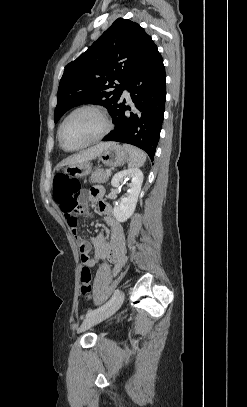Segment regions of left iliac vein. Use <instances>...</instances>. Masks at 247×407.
Returning <instances> with one entry per match:
<instances>
[{
	"mask_svg": "<svg viewBox=\"0 0 247 407\" xmlns=\"http://www.w3.org/2000/svg\"><path fill=\"white\" fill-rule=\"evenodd\" d=\"M123 301H124V293L121 292L118 295V297L114 300V302L111 304V306L108 307L106 310H104L96 315L86 318L80 325L78 332L79 333L84 332L87 329H89L90 327L111 317L121 307Z\"/></svg>",
	"mask_w": 247,
	"mask_h": 407,
	"instance_id": "obj_1",
	"label": "left iliac vein"
}]
</instances>
